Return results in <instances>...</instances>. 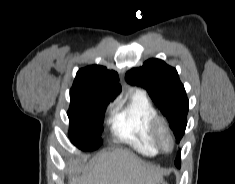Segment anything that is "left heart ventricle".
I'll return each instance as SVG.
<instances>
[{"label":"left heart ventricle","mask_w":235,"mask_h":184,"mask_svg":"<svg viewBox=\"0 0 235 184\" xmlns=\"http://www.w3.org/2000/svg\"><path fill=\"white\" fill-rule=\"evenodd\" d=\"M160 143L166 150H171L172 148V140L168 133L163 132L160 135Z\"/></svg>","instance_id":"b2bd125f"}]
</instances>
